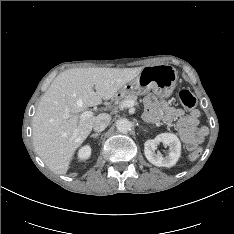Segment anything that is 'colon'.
Instances as JSON below:
<instances>
[{"label": "colon", "mask_w": 234, "mask_h": 234, "mask_svg": "<svg viewBox=\"0 0 234 234\" xmlns=\"http://www.w3.org/2000/svg\"><path fill=\"white\" fill-rule=\"evenodd\" d=\"M178 99L182 106L185 108H193L196 105L195 96L187 89H181L178 92ZM201 155L200 147H192L190 148L189 158L191 160H196Z\"/></svg>", "instance_id": "1"}]
</instances>
